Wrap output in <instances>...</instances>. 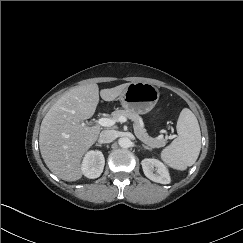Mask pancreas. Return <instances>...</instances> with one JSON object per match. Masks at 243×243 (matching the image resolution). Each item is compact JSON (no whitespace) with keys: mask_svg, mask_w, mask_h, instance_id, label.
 Instances as JSON below:
<instances>
[{"mask_svg":"<svg viewBox=\"0 0 243 243\" xmlns=\"http://www.w3.org/2000/svg\"><path fill=\"white\" fill-rule=\"evenodd\" d=\"M112 118L118 120L121 116L129 118L134 122V132L137 138L147 145L149 148H160L166 144L164 139H158L150 137L144 128V123L142 118L134 112H130L127 110L116 109L112 114Z\"/></svg>","mask_w":243,"mask_h":243,"instance_id":"1","label":"pancreas"}]
</instances>
